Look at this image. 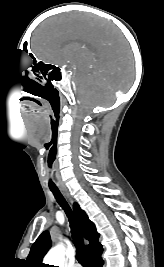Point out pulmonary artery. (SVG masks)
<instances>
[{
	"mask_svg": "<svg viewBox=\"0 0 164 267\" xmlns=\"http://www.w3.org/2000/svg\"><path fill=\"white\" fill-rule=\"evenodd\" d=\"M73 267H80V265L79 264H74Z\"/></svg>",
	"mask_w": 164,
	"mask_h": 267,
	"instance_id": "obj_1",
	"label": "pulmonary artery"
}]
</instances>
